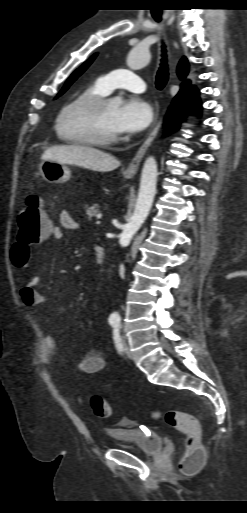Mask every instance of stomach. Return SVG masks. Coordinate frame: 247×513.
Segmentation results:
<instances>
[{
  "instance_id": "obj_1",
  "label": "stomach",
  "mask_w": 247,
  "mask_h": 513,
  "mask_svg": "<svg viewBox=\"0 0 247 513\" xmlns=\"http://www.w3.org/2000/svg\"><path fill=\"white\" fill-rule=\"evenodd\" d=\"M39 172L48 183H64L71 177L70 169L66 164L53 160H44L39 166ZM129 178L128 176H126Z\"/></svg>"
}]
</instances>
